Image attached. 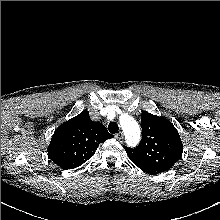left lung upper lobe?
I'll return each mask as SVG.
<instances>
[{
	"label": "left lung upper lobe",
	"mask_w": 220,
	"mask_h": 220,
	"mask_svg": "<svg viewBox=\"0 0 220 220\" xmlns=\"http://www.w3.org/2000/svg\"><path fill=\"white\" fill-rule=\"evenodd\" d=\"M142 140L132 149L124 146L131 161L150 174L169 170L182 156L179 133L167 119L143 112Z\"/></svg>",
	"instance_id": "obj_1"
}]
</instances>
